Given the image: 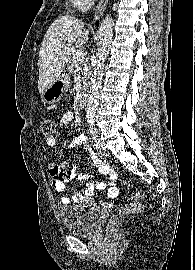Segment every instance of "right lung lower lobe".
Here are the masks:
<instances>
[{
	"instance_id": "right-lung-lower-lobe-1",
	"label": "right lung lower lobe",
	"mask_w": 195,
	"mask_h": 270,
	"mask_svg": "<svg viewBox=\"0 0 195 270\" xmlns=\"http://www.w3.org/2000/svg\"><path fill=\"white\" fill-rule=\"evenodd\" d=\"M96 25H99V22H96Z\"/></svg>"
}]
</instances>
